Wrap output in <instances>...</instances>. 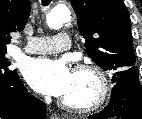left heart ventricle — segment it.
<instances>
[{
    "mask_svg": "<svg viewBox=\"0 0 142 119\" xmlns=\"http://www.w3.org/2000/svg\"><path fill=\"white\" fill-rule=\"evenodd\" d=\"M97 91V82L89 73H73L71 86L63 99L78 105L90 103Z\"/></svg>",
    "mask_w": 142,
    "mask_h": 119,
    "instance_id": "1",
    "label": "left heart ventricle"
}]
</instances>
